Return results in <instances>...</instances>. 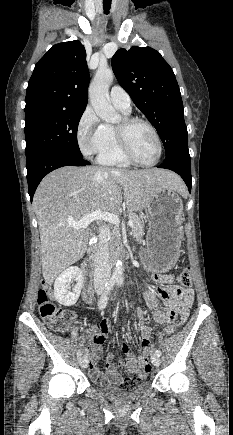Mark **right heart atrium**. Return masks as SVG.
Returning <instances> with one entry per match:
<instances>
[{"label": "right heart atrium", "mask_w": 233, "mask_h": 435, "mask_svg": "<svg viewBox=\"0 0 233 435\" xmlns=\"http://www.w3.org/2000/svg\"><path fill=\"white\" fill-rule=\"evenodd\" d=\"M77 141L82 153L87 157L99 155L105 146L104 124L91 108H87L80 117Z\"/></svg>", "instance_id": "obj_1"}]
</instances>
